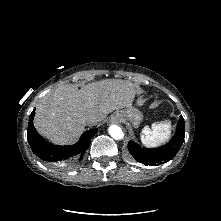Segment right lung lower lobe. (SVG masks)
<instances>
[{
    "mask_svg": "<svg viewBox=\"0 0 221 221\" xmlns=\"http://www.w3.org/2000/svg\"><path fill=\"white\" fill-rule=\"evenodd\" d=\"M35 111L29 116L27 138L30 147L35 155L53 166L70 168L74 166L77 159H82L88 149L91 138L96 134L97 129H91L82 134L80 140L72 146H57L46 141L34 128L33 118Z\"/></svg>",
    "mask_w": 221,
    "mask_h": 221,
    "instance_id": "1",
    "label": "right lung lower lobe"
}]
</instances>
